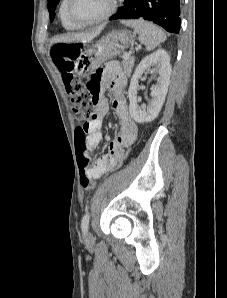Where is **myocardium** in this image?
<instances>
[{
  "instance_id": "obj_1",
  "label": "myocardium",
  "mask_w": 227,
  "mask_h": 298,
  "mask_svg": "<svg viewBox=\"0 0 227 298\" xmlns=\"http://www.w3.org/2000/svg\"><path fill=\"white\" fill-rule=\"evenodd\" d=\"M72 1L73 0H67L66 15H67V18L69 19V21L78 27H85V26L99 24V23L107 20L108 18H110L115 13V11L117 10V7H118V0H110L108 9L106 10V12L104 14H102L98 18L90 20V21H78L77 19L74 18V16L72 15V12H71Z\"/></svg>"
}]
</instances>
